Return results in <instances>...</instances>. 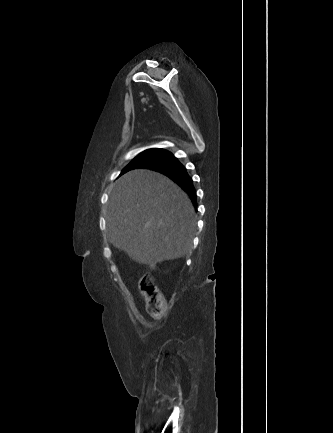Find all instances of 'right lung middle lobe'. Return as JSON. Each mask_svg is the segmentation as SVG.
<instances>
[{"label":"right lung middle lobe","instance_id":"obj_1","mask_svg":"<svg viewBox=\"0 0 333 433\" xmlns=\"http://www.w3.org/2000/svg\"><path fill=\"white\" fill-rule=\"evenodd\" d=\"M169 152L162 149H149L142 153H140L137 157L131 161L126 168L122 171L121 174L135 168L141 167L143 164H147L149 162L155 161L165 155H168Z\"/></svg>","mask_w":333,"mask_h":433}]
</instances>
